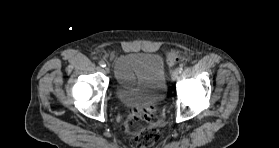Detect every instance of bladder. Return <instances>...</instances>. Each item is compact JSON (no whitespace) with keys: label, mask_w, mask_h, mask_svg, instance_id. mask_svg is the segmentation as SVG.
<instances>
[{"label":"bladder","mask_w":279,"mask_h":148,"mask_svg":"<svg viewBox=\"0 0 279 148\" xmlns=\"http://www.w3.org/2000/svg\"><path fill=\"white\" fill-rule=\"evenodd\" d=\"M122 61L135 75L137 84L133 89H128L117 82L115 94L118 100L127 106L161 102L166 85L163 58L155 53L132 52L125 55Z\"/></svg>","instance_id":"obj_1"}]
</instances>
